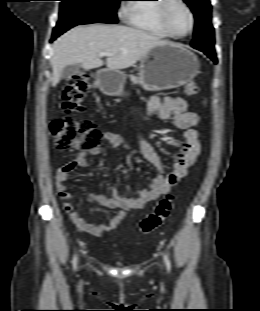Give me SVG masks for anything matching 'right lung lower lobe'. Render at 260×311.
Segmentation results:
<instances>
[{
    "label": "right lung lower lobe",
    "mask_w": 260,
    "mask_h": 311,
    "mask_svg": "<svg viewBox=\"0 0 260 311\" xmlns=\"http://www.w3.org/2000/svg\"><path fill=\"white\" fill-rule=\"evenodd\" d=\"M76 25H66V26H63V27H55L54 28V31H53V35H52V38H51V41L55 40L59 35H61L62 33H64L65 31H67L68 29L74 27Z\"/></svg>",
    "instance_id": "1"
}]
</instances>
